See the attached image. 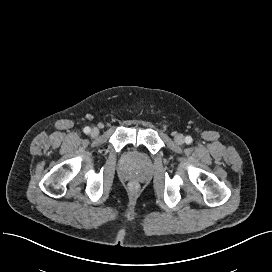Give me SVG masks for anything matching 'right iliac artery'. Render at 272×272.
<instances>
[{
    "label": "right iliac artery",
    "instance_id": "obj_1",
    "mask_svg": "<svg viewBox=\"0 0 272 272\" xmlns=\"http://www.w3.org/2000/svg\"><path fill=\"white\" fill-rule=\"evenodd\" d=\"M83 131H84V133L89 134L90 133V128L89 127H85Z\"/></svg>",
    "mask_w": 272,
    "mask_h": 272
}]
</instances>
